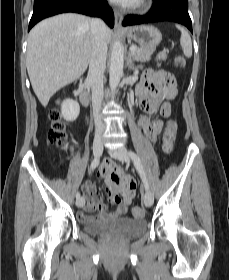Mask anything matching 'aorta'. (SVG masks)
I'll list each match as a JSON object with an SVG mask.
<instances>
[{
    "instance_id": "762f6f07",
    "label": "aorta",
    "mask_w": 229,
    "mask_h": 280,
    "mask_svg": "<svg viewBox=\"0 0 229 280\" xmlns=\"http://www.w3.org/2000/svg\"><path fill=\"white\" fill-rule=\"evenodd\" d=\"M123 66H124V46L117 40L114 42L111 61L109 67V86L113 91L117 88L120 79L123 75Z\"/></svg>"
}]
</instances>
